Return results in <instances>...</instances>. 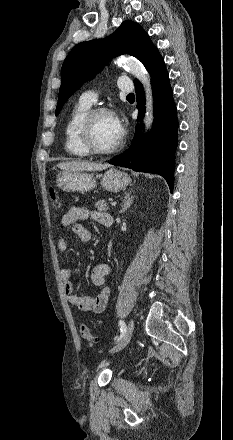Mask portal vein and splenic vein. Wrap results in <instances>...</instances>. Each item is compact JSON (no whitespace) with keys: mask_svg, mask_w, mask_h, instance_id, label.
<instances>
[{"mask_svg":"<svg viewBox=\"0 0 233 440\" xmlns=\"http://www.w3.org/2000/svg\"><path fill=\"white\" fill-rule=\"evenodd\" d=\"M117 203L116 202H111V205L112 206H115Z\"/></svg>","mask_w":233,"mask_h":440,"instance_id":"portal-vein-and-splenic-vein-1","label":"portal vein and splenic vein"}]
</instances>
